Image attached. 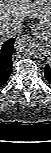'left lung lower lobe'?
<instances>
[{
    "instance_id": "left-lung-lower-lobe-1",
    "label": "left lung lower lobe",
    "mask_w": 51,
    "mask_h": 153,
    "mask_svg": "<svg viewBox=\"0 0 51 153\" xmlns=\"http://www.w3.org/2000/svg\"><path fill=\"white\" fill-rule=\"evenodd\" d=\"M44 74L47 81L51 84V66L49 64L46 65Z\"/></svg>"
}]
</instances>
